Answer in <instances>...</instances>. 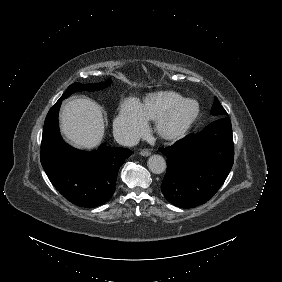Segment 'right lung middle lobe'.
Instances as JSON below:
<instances>
[{
  "label": "right lung middle lobe",
  "mask_w": 282,
  "mask_h": 282,
  "mask_svg": "<svg viewBox=\"0 0 282 282\" xmlns=\"http://www.w3.org/2000/svg\"><path fill=\"white\" fill-rule=\"evenodd\" d=\"M110 80H107L106 82H101L97 84H81V83H73L68 87L66 92L62 95L60 99H66L68 96H70L72 93L77 91H95V90H101L108 85H110Z\"/></svg>",
  "instance_id": "1"
}]
</instances>
